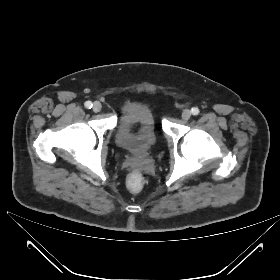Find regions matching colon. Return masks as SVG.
<instances>
[{"label":"colon","mask_w":280,"mask_h":280,"mask_svg":"<svg viewBox=\"0 0 280 280\" xmlns=\"http://www.w3.org/2000/svg\"><path fill=\"white\" fill-rule=\"evenodd\" d=\"M144 187V178L138 171H133L127 179V188L133 193L140 192Z\"/></svg>","instance_id":"colon-1"}]
</instances>
